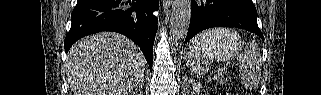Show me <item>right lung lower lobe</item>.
<instances>
[{"instance_id": "98d812e1", "label": "right lung lower lobe", "mask_w": 321, "mask_h": 95, "mask_svg": "<svg viewBox=\"0 0 321 95\" xmlns=\"http://www.w3.org/2000/svg\"><path fill=\"white\" fill-rule=\"evenodd\" d=\"M158 7L159 0H78L71 14V29L65 38V52L84 36L114 31L136 43L152 67L157 31L153 12Z\"/></svg>"}]
</instances>
